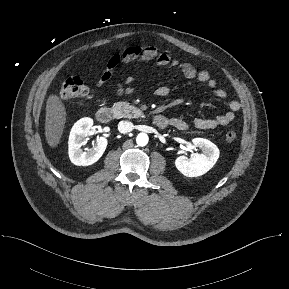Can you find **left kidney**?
<instances>
[{
    "label": "left kidney",
    "mask_w": 289,
    "mask_h": 289,
    "mask_svg": "<svg viewBox=\"0 0 289 289\" xmlns=\"http://www.w3.org/2000/svg\"><path fill=\"white\" fill-rule=\"evenodd\" d=\"M192 142L202 153L194 154L190 158L180 156L175 160V166L187 177H198L215 165L219 158V149L214 143L204 138H194Z\"/></svg>",
    "instance_id": "obj_1"
}]
</instances>
